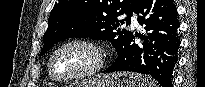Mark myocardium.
I'll return each instance as SVG.
<instances>
[{"label": "myocardium", "mask_w": 205, "mask_h": 87, "mask_svg": "<svg viewBox=\"0 0 205 87\" xmlns=\"http://www.w3.org/2000/svg\"><path fill=\"white\" fill-rule=\"evenodd\" d=\"M74 45L84 46L93 53L95 58L93 65L87 70H84L77 74H73L65 77L57 76L53 70V63L57 54L62 49ZM104 61L105 58H104L103 50L96 42L86 38H73L63 42L53 50L48 61V71L50 77L57 82H63V83L75 82V81L85 80L97 75L102 70Z\"/></svg>", "instance_id": "f54148a6"}]
</instances>
